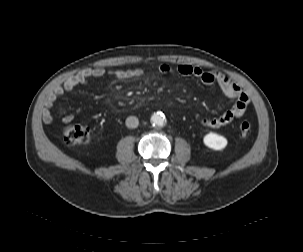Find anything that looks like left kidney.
I'll list each match as a JSON object with an SVG mask.
<instances>
[{"mask_svg":"<svg viewBox=\"0 0 303 252\" xmlns=\"http://www.w3.org/2000/svg\"><path fill=\"white\" fill-rule=\"evenodd\" d=\"M204 144L213 150H222L227 146V139L219 134L210 132L203 138Z\"/></svg>","mask_w":303,"mask_h":252,"instance_id":"5707ae66","label":"left kidney"}]
</instances>
